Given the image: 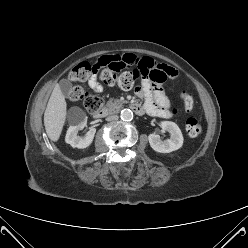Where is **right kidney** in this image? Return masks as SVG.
<instances>
[{"label": "right kidney", "instance_id": "obj_1", "mask_svg": "<svg viewBox=\"0 0 248 248\" xmlns=\"http://www.w3.org/2000/svg\"><path fill=\"white\" fill-rule=\"evenodd\" d=\"M69 122L71 126L66 133V143L79 149L88 147L94 139L96 129L91 128L84 137H79L77 135L78 131L83 129L87 123V116L85 113L79 108H72L69 113Z\"/></svg>", "mask_w": 248, "mask_h": 248}]
</instances>
